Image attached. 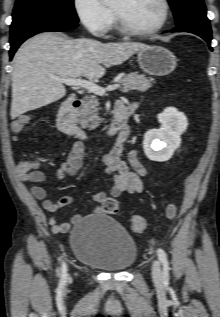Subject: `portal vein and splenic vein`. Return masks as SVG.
Returning a JSON list of instances; mask_svg holds the SVG:
<instances>
[{"instance_id":"1","label":"portal vein and splenic vein","mask_w":220,"mask_h":317,"mask_svg":"<svg viewBox=\"0 0 220 317\" xmlns=\"http://www.w3.org/2000/svg\"><path fill=\"white\" fill-rule=\"evenodd\" d=\"M51 78L56 80V81H59L61 83H64L68 86L86 88L90 92H92L96 95H100V96H103L106 91H113V90L120 88L119 84H114V85L108 86L107 88H103V87H100L99 85H97L91 81H87V80H83V79L60 78L58 76H51Z\"/></svg>"}]
</instances>
